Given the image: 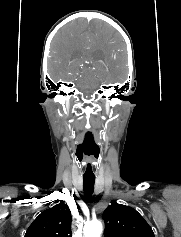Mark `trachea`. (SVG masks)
I'll list each match as a JSON object with an SVG mask.
<instances>
[{"label": "trachea", "mask_w": 181, "mask_h": 237, "mask_svg": "<svg viewBox=\"0 0 181 237\" xmlns=\"http://www.w3.org/2000/svg\"><path fill=\"white\" fill-rule=\"evenodd\" d=\"M95 178H85L83 179V189L85 198H90L94 191Z\"/></svg>", "instance_id": "3493384b"}]
</instances>
